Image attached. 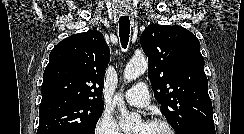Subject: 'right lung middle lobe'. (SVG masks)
<instances>
[{"label": "right lung middle lobe", "instance_id": "right-lung-middle-lobe-1", "mask_svg": "<svg viewBox=\"0 0 244 134\" xmlns=\"http://www.w3.org/2000/svg\"><path fill=\"white\" fill-rule=\"evenodd\" d=\"M104 105L54 98L41 102L37 134H94Z\"/></svg>", "mask_w": 244, "mask_h": 134}]
</instances>
